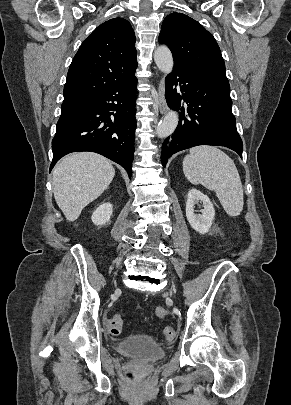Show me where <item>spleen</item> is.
Masks as SVG:
<instances>
[{
	"label": "spleen",
	"mask_w": 291,
	"mask_h": 405,
	"mask_svg": "<svg viewBox=\"0 0 291 405\" xmlns=\"http://www.w3.org/2000/svg\"><path fill=\"white\" fill-rule=\"evenodd\" d=\"M183 172L192 184L214 190L225 212L235 217L243 210V187L234 161L212 146L192 148L183 160Z\"/></svg>",
	"instance_id": "spleen-1"
}]
</instances>
